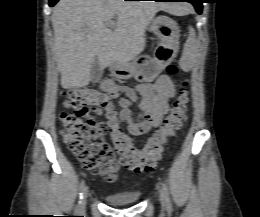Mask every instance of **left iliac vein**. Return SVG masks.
<instances>
[{"label": "left iliac vein", "instance_id": "obj_1", "mask_svg": "<svg viewBox=\"0 0 260 217\" xmlns=\"http://www.w3.org/2000/svg\"><path fill=\"white\" fill-rule=\"evenodd\" d=\"M159 200L161 202L162 207L165 208L166 207V202H165V199H164V194H163V190L162 189L159 190Z\"/></svg>", "mask_w": 260, "mask_h": 217}]
</instances>
